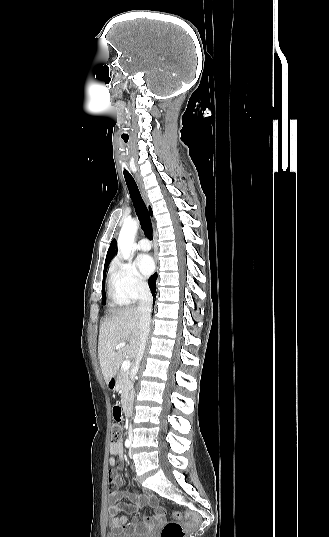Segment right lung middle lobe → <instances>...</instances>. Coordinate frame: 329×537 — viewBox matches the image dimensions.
<instances>
[{"label": "right lung middle lobe", "instance_id": "right-lung-middle-lobe-1", "mask_svg": "<svg viewBox=\"0 0 329 537\" xmlns=\"http://www.w3.org/2000/svg\"><path fill=\"white\" fill-rule=\"evenodd\" d=\"M106 268L104 269V274H103V282H102V300L105 301V273H106Z\"/></svg>", "mask_w": 329, "mask_h": 537}]
</instances>
